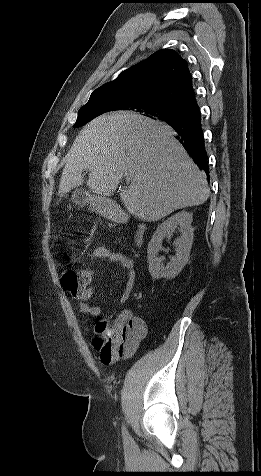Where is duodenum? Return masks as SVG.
Returning <instances> with one entry per match:
<instances>
[{"mask_svg": "<svg viewBox=\"0 0 261 476\" xmlns=\"http://www.w3.org/2000/svg\"><path fill=\"white\" fill-rule=\"evenodd\" d=\"M115 218L118 220V221H122L124 218L121 214H117L115 215ZM141 234H142V228L139 229L138 233H137V236H136V243H140L141 241Z\"/></svg>", "mask_w": 261, "mask_h": 476, "instance_id": "obj_1", "label": "duodenum"}]
</instances>
